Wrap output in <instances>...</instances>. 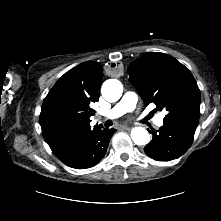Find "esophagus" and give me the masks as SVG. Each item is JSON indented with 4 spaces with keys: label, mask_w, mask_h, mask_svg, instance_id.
Returning <instances> with one entry per match:
<instances>
[{
    "label": "esophagus",
    "mask_w": 221,
    "mask_h": 221,
    "mask_svg": "<svg viewBox=\"0 0 221 221\" xmlns=\"http://www.w3.org/2000/svg\"><path fill=\"white\" fill-rule=\"evenodd\" d=\"M123 129L129 130L130 128L128 126H124Z\"/></svg>",
    "instance_id": "esophagus-1"
}]
</instances>
